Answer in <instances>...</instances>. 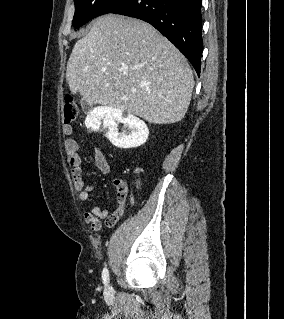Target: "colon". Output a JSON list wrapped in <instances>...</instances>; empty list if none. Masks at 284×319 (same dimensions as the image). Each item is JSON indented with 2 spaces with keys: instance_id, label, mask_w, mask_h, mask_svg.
<instances>
[{
  "instance_id": "5ec220e1",
  "label": "colon",
  "mask_w": 284,
  "mask_h": 319,
  "mask_svg": "<svg viewBox=\"0 0 284 319\" xmlns=\"http://www.w3.org/2000/svg\"><path fill=\"white\" fill-rule=\"evenodd\" d=\"M80 118V109L75 99L67 95L64 100V121L71 124Z\"/></svg>"
}]
</instances>
